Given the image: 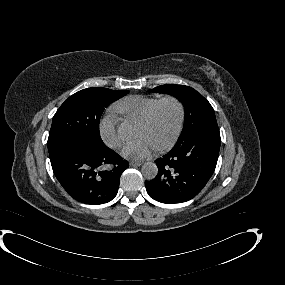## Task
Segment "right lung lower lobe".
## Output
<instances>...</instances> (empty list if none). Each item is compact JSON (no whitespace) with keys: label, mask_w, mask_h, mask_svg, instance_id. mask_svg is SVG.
<instances>
[{"label":"right lung lower lobe","mask_w":285,"mask_h":285,"mask_svg":"<svg viewBox=\"0 0 285 285\" xmlns=\"http://www.w3.org/2000/svg\"><path fill=\"white\" fill-rule=\"evenodd\" d=\"M53 172L75 200L99 205L111 201L118 192L122 172L128 162L107 148L93 151L79 144H68L50 155ZM106 164L114 168L100 171Z\"/></svg>","instance_id":"1"}]
</instances>
